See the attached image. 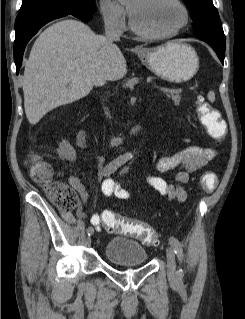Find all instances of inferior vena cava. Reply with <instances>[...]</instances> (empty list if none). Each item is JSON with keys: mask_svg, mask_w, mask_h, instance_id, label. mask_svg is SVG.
<instances>
[{"mask_svg": "<svg viewBox=\"0 0 245 319\" xmlns=\"http://www.w3.org/2000/svg\"><path fill=\"white\" fill-rule=\"evenodd\" d=\"M105 38L110 50H117L118 47L113 43L120 39L117 18L113 15L105 17ZM105 115L110 118L109 111L105 108Z\"/></svg>", "mask_w": 245, "mask_h": 319, "instance_id": "602c4592", "label": "inferior vena cava"}]
</instances>
